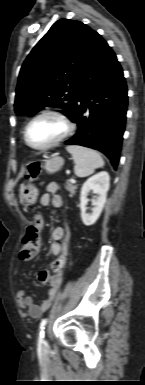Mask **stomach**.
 Listing matches in <instances>:
<instances>
[{"label":"stomach","mask_w":145,"mask_h":385,"mask_svg":"<svg viewBox=\"0 0 145 385\" xmlns=\"http://www.w3.org/2000/svg\"><path fill=\"white\" fill-rule=\"evenodd\" d=\"M64 164V159L58 154L51 156L45 160L44 169L48 173H55L59 171ZM39 195L38 189L33 184L22 183L19 189V199L21 204L28 206L34 204Z\"/></svg>","instance_id":"stomach-1"}]
</instances>
